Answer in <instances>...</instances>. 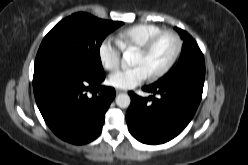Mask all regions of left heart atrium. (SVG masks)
<instances>
[{"label": "left heart atrium", "instance_id": "obj_1", "mask_svg": "<svg viewBox=\"0 0 248 165\" xmlns=\"http://www.w3.org/2000/svg\"><path fill=\"white\" fill-rule=\"evenodd\" d=\"M151 77L144 65H136L132 68L120 69L109 77V83L120 89H130L140 85Z\"/></svg>", "mask_w": 248, "mask_h": 165}]
</instances>
